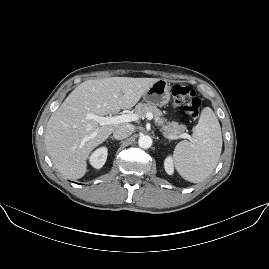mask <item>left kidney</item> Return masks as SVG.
I'll use <instances>...</instances> for the list:
<instances>
[{"instance_id":"obj_1","label":"left kidney","mask_w":269,"mask_h":269,"mask_svg":"<svg viewBox=\"0 0 269 269\" xmlns=\"http://www.w3.org/2000/svg\"><path fill=\"white\" fill-rule=\"evenodd\" d=\"M164 168L167 174L172 175L174 173L173 160L171 156H168L164 161Z\"/></svg>"}]
</instances>
